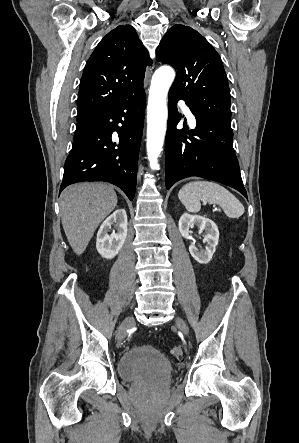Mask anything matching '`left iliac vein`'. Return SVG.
Segmentation results:
<instances>
[{"mask_svg":"<svg viewBox=\"0 0 299 443\" xmlns=\"http://www.w3.org/2000/svg\"><path fill=\"white\" fill-rule=\"evenodd\" d=\"M175 322H176L177 327L183 332V334L185 336H188L189 330H188L186 323L183 321V319H181L180 317H177Z\"/></svg>","mask_w":299,"mask_h":443,"instance_id":"1","label":"left iliac vein"}]
</instances>
